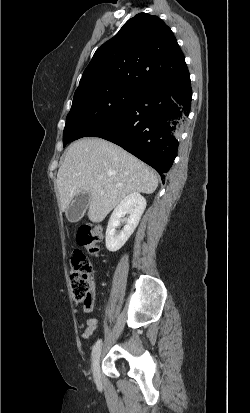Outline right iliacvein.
I'll return each instance as SVG.
<instances>
[{
	"mask_svg": "<svg viewBox=\"0 0 250 413\" xmlns=\"http://www.w3.org/2000/svg\"><path fill=\"white\" fill-rule=\"evenodd\" d=\"M100 355L101 349L95 353L92 364L93 376L96 382L100 381Z\"/></svg>",
	"mask_w": 250,
	"mask_h": 413,
	"instance_id": "63e3f726",
	"label": "right iliac vein"
}]
</instances>
